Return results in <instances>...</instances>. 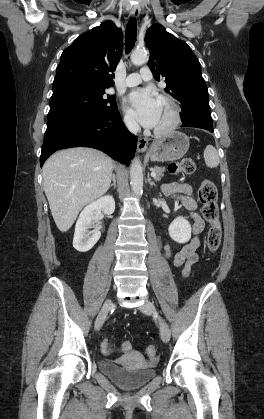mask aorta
Returning a JSON list of instances; mask_svg holds the SVG:
<instances>
[{
    "label": "aorta",
    "mask_w": 264,
    "mask_h": 419,
    "mask_svg": "<svg viewBox=\"0 0 264 419\" xmlns=\"http://www.w3.org/2000/svg\"><path fill=\"white\" fill-rule=\"evenodd\" d=\"M148 60V54L144 50H136L131 55V61L134 65H143ZM130 185L135 196L142 195L143 192V174L142 166L138 159H134L130 168Z\"/></svg>",
    "instance_id": "aorta-1"
}]
</instances>
